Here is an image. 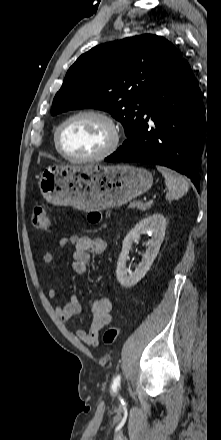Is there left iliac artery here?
<instances>
[{"label":"left iliac artery","mask_w":221,"mask_h":440,"mask_svg":"<svg viewBox=\"0 0 221 440\" xmlns=\"http://www.w3.org/2000/svg\"><path fill=\"white\" fill-rule=\"evenodd\" d=\"M120 380H121V376L120 375H117L113 379V382H112V385H111L112 392H117V389L120 386Z\"/></svg>","instance_id":"1"}]
</instances>
